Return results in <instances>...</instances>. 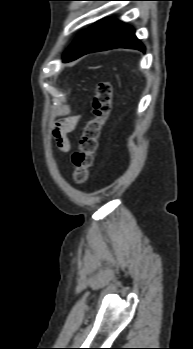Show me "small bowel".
<instances>
[{"instance_id": "1", "label": "small bowel", "mask_w": 193, "mask_h": 349, "mask_svg": "<svg viewBox=\"0 0 193 349\" xmlns=\"http://www.w3.org/2000/svg\"><path fill=\"white\" fill-rule=\"evenodd\" d=\"M79 116H74L65 119L57 124L54 130V136L60 150L68 152L71 148V144L68 138V134L71 133L77 125Z\"/></svg>"}]
</instances>
